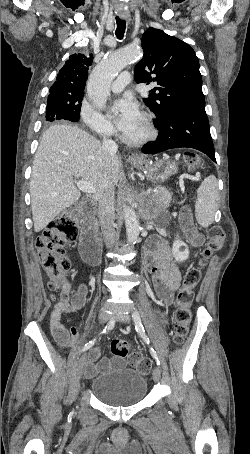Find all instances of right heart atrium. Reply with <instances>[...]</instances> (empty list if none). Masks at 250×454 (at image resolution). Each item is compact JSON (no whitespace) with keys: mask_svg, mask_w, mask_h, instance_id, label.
<instances>
[{"mask_svg":"<svg viewBox=\"0 0 250 454\" xmlns=\"http://www.w3.org/2000/svg\"><path fill=\"white\" fill-rule=\"evenodd\" d=\"M80 118L84 126L100 136L113 134L112 124L87 100H83L80 107Z\"/></svg>","mask_w":250,"mask_h":454,"instance_id":"d8ad5b80","label":"right heart atrium"}]
</instances>
